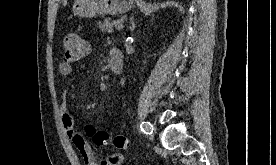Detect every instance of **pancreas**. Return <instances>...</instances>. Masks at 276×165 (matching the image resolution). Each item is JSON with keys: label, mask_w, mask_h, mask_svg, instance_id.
I'll list each match as a JSON object with an SVG mask.
<instances>
[{"label": "pancreas", "mask_w": 276, "mask_h": 165, "mask_svg": "<svg viewBox=\"0 0 276 165\" xmlns=\"http://www.w3.org/2000/svg\"><path fill=\"white\" fill-rule=\"evenodd\" d=\"M99 29L103 33H112L113 32V25L114 22H112L109 18H105L103 22H98L97 23Z\"/></svg>", "instance_id": "pancreas-1"}]
</instances>
